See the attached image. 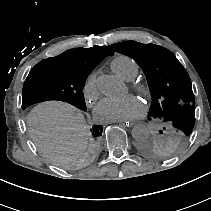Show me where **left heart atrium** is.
<instances>
[{"label": "left heart atrium", "mask_w": 211, "mask_h": 211, "mask_svg": "<svg viewBox=\"0 0 211 211\" xmlns=\"http://www.w3.org/2000/svg\"><path fill=\"white\" fill-rule=\"evenodd\" d=\"M144 113V103L141 98L135 95L104 98L94 110L95 118L100 122L137 119L142 117Z\"/></svg>", "instance_id": "obj_1"}]
</instances>
